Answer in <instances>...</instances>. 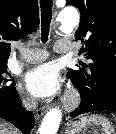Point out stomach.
<instances>
[{
	"label": "stomach",
	"mask_w": 116,
	"mask_h": 134,
	"mask_svg": "<svg viewBox=\"0 0 116 134\" xmlns=\"http://www.w3.org/2000/svg\"><path fill=\"white\" fill-rule=\"evenodd\" d=\"M113 127L110 121L99 115L84 116L71 123L66 134H112Z\"/></svg>",
	"instance_id": "1"
}]
</instances>
